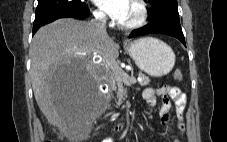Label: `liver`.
Masks as SVG:
<instances>
[{
    "label": "liver",
    "instance_id": "liver-1",
    "mask_svg": "<svg viewBox=\"0 0 227 142\" xmlns=\"http://www.w3.org/2000/svg\"><path fill=\"white\" fill-rule=\"evenodd\" d=\"M29 52L36 102L49 123L67 133L81 117L82 100L109 76L119 56L117 44L108 35H97L88 22L73 18L41 27ZM65 61H86L84 78H75L82 80L81 88H58V78H52Z\"/></svg>",
    "mask_w": 227,
    "mask_h": 142
}]
</instances>
